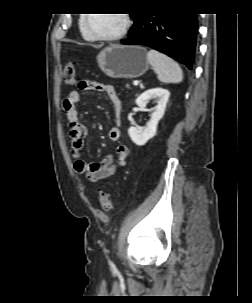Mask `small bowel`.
<instances>
[{"label":"small bowel","mask_w":252,"mask_h":303,"mask_svg":"<svg viewBox=\"0 0 252 303\" xmlns=\"http://www.w3.org/2000/svg\"><path fill=\"white\" fill-rule=\"evenodd\" d=\"M78 87L79 90L71 91L63 103L68 119L67 138L70 152L75 158L74 170L78 174L85 175L89 181L97 182L114 176L120 168L126 166L129 149L126 145H119L116 147L115 153L106 156L101 161L85 162L79 158L88 133V127L81 121L77 109V105L81 101L80 91L95 90L104 92L109 98L115 114V125L108 133L109 139L113 142H117L121 138L122 106L114 86L110 84L82 80L79 82Z\"/></svg>","instance_id":"1"}]
</instances>
